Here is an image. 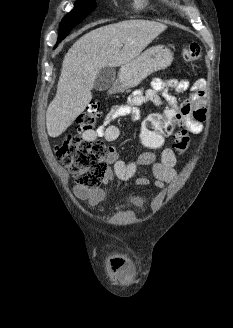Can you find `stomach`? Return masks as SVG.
I'll use <instances>...</instances> for the list:
<instances>
[{"label": "stomach", "mask_w": 233, "mask_h": 328, "mask_svg": "<svg viewBox=\"0 0 233 328\" xmlns=\"http://www.w3.org/2000/svg\"><path fill=\"white\" fill-rule=\"evenodd\" d=\"M172 61L173 53L165 46L159 45L147 49L121 66L116 91L123 92L137 86L153 72L169 67Z\"/></svg>", "instance_id": "stomach-1"}]
</instances>
